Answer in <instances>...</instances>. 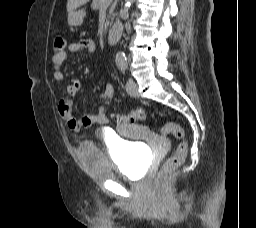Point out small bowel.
<instances>
[{"mask_svg": "<svg viewBox=\"0 0 256 228\" xmlns=\"http://www.w3.org/2000/svg\"><path fill=\"white\" fill-rule=\"evenodd\" d=\"M95 51V43L90 38H84L79 41L73 42L68 45L67 49L61 52L54 53L52 56V64L55 68L52 78L54 82H61L64 78V74L61 71L65 60L69 53L88 52ZM81 89V82L77 78H73L67 85V91L70 95H76ZM114 92V86L111 83H107L102 91L96 97L94 103L91 106L89 112L76 117L72 115V101L69 98H62L58 102V113L61 118L66 122L68 127L72 131H79L82 128H88L96 125H104L108 123V118L103 112L106 101L111 98Z\"/></svg>", "mask_w": 256, "mask_h": 228, "instance_id": "small-bowel-1", "label": "small bowel"}]
</instances>
